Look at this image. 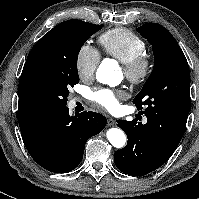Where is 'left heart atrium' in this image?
<instances>
[{"instance_id":"left-heart-atrium-1","label":"left heart atrium","mask_w":199,"mask_h":199,"mask_svg":"<svg viewBox=\"0 0 199 199\" xmlns=\"http://www.w3.org/2000/svg\"><path fill=\"white\" fill-rule=\"evenodd\" d=\"M94 100L109 111H116L119 107L118 95L110 90H100L93 94Z\"/></svg>"}]
</instances>
